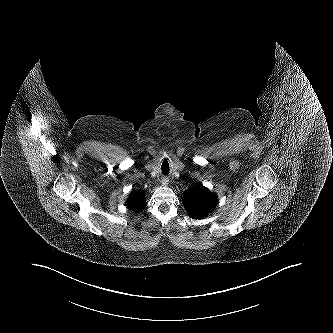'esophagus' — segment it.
I'll use <instances>...</instances> for the list:
<instances>
[{"label":"esophagus","mask_w":333,"mask_h":333,"mask_svg":"<svg viewBox=\"0 0 333 333\" xmlns=\"http://www.w3.org/2000/svg\"><path fill=\"white\" fill-rule=\"evenodd\" d=\"M161 182H162V185H167L169 180H168V178L163 177Z\"/></svg>","instance_id":"34e87169"}]
</instances>
